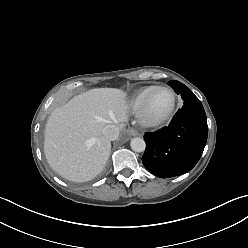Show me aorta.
<instances>
[{"mask_svg":"<svg viewBox=\"0 0 248 248\" xmlns=\"http://www.w3.org/2000/svg\"><path fill=\"white\" fill-rule=\"evenodd\" d=\"M130 146L135 152H143L146 148L145 141L142 138L135 137L131 139Z\"/></svg>","mask_w":248,"mask_h":248,"instance_id":"1","label":"aorta"}]
</instances>
